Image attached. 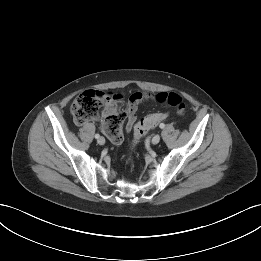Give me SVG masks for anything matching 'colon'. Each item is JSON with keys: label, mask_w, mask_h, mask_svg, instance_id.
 <instances>
[{"label": "colon", "mask_w": 261, "mask_h": 261, "mask_svg": "<svg viewBox=\"0 0 261 261\" xmlns=\"http://www.w3.org/2000/svg\"><path fill=\"white\" fill-rule=\"evenodd\" d=\"M157 101L167 103L178 114H183L185 111V102L176 93H160L157 95ZM107 108H113L114 113L105 118L102 129L111 143L120 144L124 140L122 124L126 118V110L117 102L116 95L103 91L86 90L80 93L73 101L71 114L77 124H84L98 117L101 110H106ZM166 118V113H155L138 121L134 126L133 144H137L149 130ZM130 161L131 155L127 158V162Z\"/></svg>", "instance_id": "5ec220e1"}]
</instances>
